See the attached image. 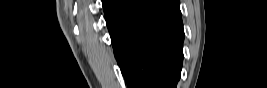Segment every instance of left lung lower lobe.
I'll return each mask as SVG.
<instances>
[{"mask_svg": "<svg viewBox=\"0 0 267 88\" xmlns=\"http://www.w3.org/2000/svg\"><path fill=\"white\" fill-rule=\"evenodd\" d=\"M129 88H176L183 61L179 0H102Z\"/></svg>", "mask_w": 267, "mask_h": 88, "instance_id": "obj_1", "label": "left lung lower lobe"}]
</instances>
